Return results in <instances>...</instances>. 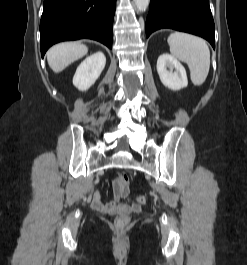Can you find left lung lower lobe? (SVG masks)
Segmentation results:
<instances>
[{
  "instance_id": "0a47b994",
  "label": "left lung lower lobe",
  "mask_w": 247,
  "mask_h": 265,
  "mask_svg": "<svg viewBox=\"0 0 247 265\" xmlns=\"http://www.w3.org/2000/svg\"><path fill=\"white\" fill-rule=\"evenodd\" d=\"M161 28L203 37L215 48V27L209 0H150L146 36Z\"/></svg>"
}]
</instances>
